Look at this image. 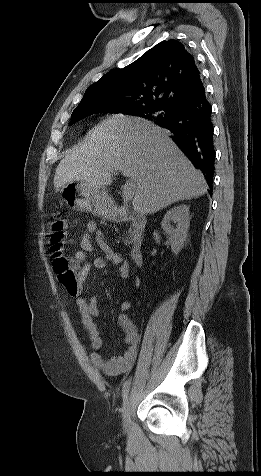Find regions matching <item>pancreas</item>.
I'll return each instance as SVG.
<instances>
[{
  "label": "pancreas",
  "instance_id": "1",
  "mask_svg": "<svg viewBox=\"0 0 261 476\" xmlns=\"http://www.w3.org/2000/svg\"><path fill=\"white\" fill-rule=\"evenodd\" d=\"M128 233L130 234V238L126 237V239L124 240V243L127 245L131 244V235H132V230L130 229L128 231Z\"/></svg>",
  "mask_w": 261,
  "mask_h": 476
}]
</instances>
